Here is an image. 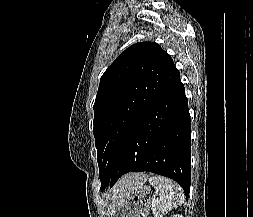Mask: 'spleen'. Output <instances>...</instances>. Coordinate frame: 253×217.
Returning a JSON list of instances; mask_svg holds the SVG:
<instances>
[{
    "label": "spleen",
    "instance_id": "spleen-1",
    "mask_svg": "<svg viewBox=\"0 0 253 217\" xmlns=\"http://www.w3.org/2000/svg\"><path fill=\"white\" fill-rule=\"evenodd\" d=\"M149 183L154 187L156 194L159 195L153 204L157 209L168 213L173 208H178L184 201L183 193L180 186L169 178L163 176H152Z\"/></svg>",
    "mask_w": 253,
    "mask_h": 217
}]
</instances>
